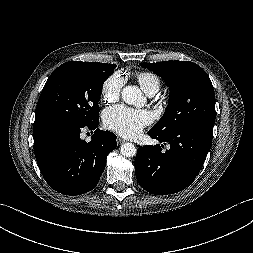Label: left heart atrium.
<instances>
[{
  "mask_svg": "<svg viewBox=\"0 0 253 253\" xmlns=\"http://www.w3.org/2000/svg\"><path fill=\"white\" fill-rule=\"evenodd\" d=\"M152 121L146 110H136L124 105L107 109L103 114L104 125L127 138L138 136Z\"/></svg>",
  "mask_w": 253,
  "mask_h": 253,
  "instance_id": "obj_1",
  "label": "left heart atrium"
}]
</instances>
